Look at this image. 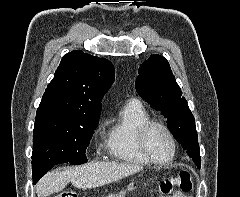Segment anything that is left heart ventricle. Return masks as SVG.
<instances>
[{"instance_id":"obj_1","label":"left heart ventricle","mask_w":240,"mask_h":197,"mask_svg":"<svg viewBox=\"0 0 240 197\" xmlns=\"http://www.w3.org/2000/svg\"><path fill=\"white\" fill-rule=\"evenodd\" d=\"M147 146L150 154L156 160H166L172 154V144L166 132L160 127H153L147 136Z\"/></svg>"}]
</instances>
